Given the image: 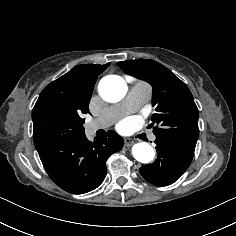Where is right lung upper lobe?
Segmentation results:
<instances>
[{
    "instance_id": "obj_1",
    "label": "right lung upper lobe",
    "mask_w": 236,
    "mask_h": 236,
    "mask_svg": "<svg viewBox=\"0 0 236 236\" xmlns=\"http://www.w3.org/2000/svg\"><path fill=\"white\" fill-rule=\"evenodd\" d=\"M109 65L110 63L77 65L65 75L48 84L40 93L33 108V129L48 114L87 111L97 76Z\"/></svg>"
}]
</instances>
